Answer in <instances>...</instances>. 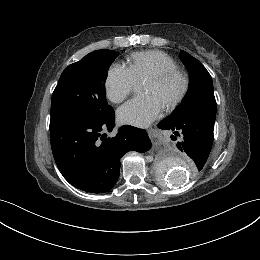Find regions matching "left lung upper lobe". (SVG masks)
<instances>
[{"instance_id": "1", "label": "left lung upper lobe", "mask_w": 260, "mask_h": 260, "mask_svg": "<svg viewBox=\"0 0 260 260\" xmlns=\"http://www.w3.org/2000/svg\"><path fill=\"white\" fill-rule=\"evenodd\" d=\"M180 58L190 72V88L170 117L178 119L194 115L215 122L216 101L209 72L185 51H181Z\"/></svg>"}]
</instances>
